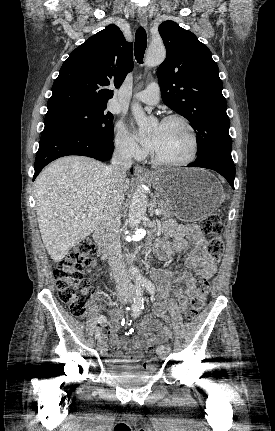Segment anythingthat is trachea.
I'll list each match as a JSON object with an SVG mask.
<instances>
[{"label":"trachea","instance_id":"1","mask_svg":"<svg viewBox=\"0 0 275 431\" xmlns=\"http://www.w3.org/2000/svg\"><path fill=\"white\" fill-rule=\"evenodd\" d=\"M147 46V36L143 27H139L136 31L134 43V55L139 64L143 63V57Z\"/></svg>","mask_w":275,"mask_h":431}]
</instances>
